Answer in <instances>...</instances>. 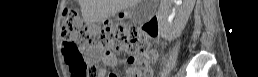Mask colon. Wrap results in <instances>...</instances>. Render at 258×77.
<instances>
[{"label": "colon", "instance_id": "1", "mask_svg": "<svg viewBox=\"0 0 258 77\" xmlns=\"http://www.w3.org/2000/svg\"><path fill=\"white\" fill-rule=\"evenodd\" d=\"M61 36L64 58L70 66L72 77H85L87 72L94 73L93 68L87 66L85 52L103 48L125 50L130 54L126 69L128 77L149 72L148 51L154 36L148 31L141 33L112 21L92 25L84 21L76 11L66 9L63 13Z\"/></svg>", "mask_w": 258, "mask_h": 77}]
</instances>
